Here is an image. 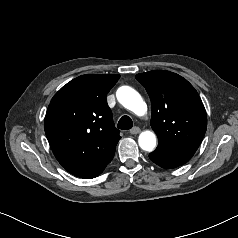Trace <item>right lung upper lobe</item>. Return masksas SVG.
Returning a JSON list of instances; mask_svg holds the SVG:
<instances>
[{"instance_id":"obj_1","label":"right lung upper lobe","mask_w":238,"mask_h":238,"mask_svg":"<svg viewBox=\"0 0 238 238\" xmlns=\"http://www.w3.org/2000/svg\"><path fill=\"white\" fill-rule=\"evenodd\" d=\"M120 75H82L52 98L44 120L58 162L81 178L98 176L112 160L119 130L114 127L106 95Z\"/></svg>"}]
</instances>
